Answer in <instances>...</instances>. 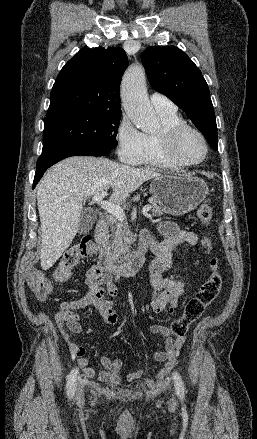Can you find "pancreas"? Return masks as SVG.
Segmentation results:
<instances>
[{
  "label": "pancreas",
  "instance_id": "pancreas-1",
  "mask_svg": "<svg viewBox=\"0 0 257 439\" xmlns=\"http://www.w3.org/2000/svg\"><path fill=\"white\" fill-rule=\"evenodd\" d=\"M149 202L152 204V216H161L166 212V208L158 199L151 197ZM128 236L129 230L124 222L112 223L111 234L107 235L110 241L106 253L112 258H117L124 250L123 242L129 241Z\"/></svg>",
  "mask_w": 257,
  "mask_h": 439
}]
</instances>
